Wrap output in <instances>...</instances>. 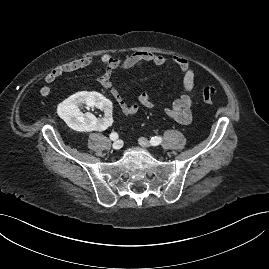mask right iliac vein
Listing matches in <instances>:
<instances>
[{
    "mask_svg": "<svg viewBox=\"0 0 269 269\" xmlns=\"http://www.w3.org/2000/svg\"><path fill=\"white\" fill-rule=\"evenodd\" d=\"M113 148L115 149V150H120L121 148H122V146H123V141L122 140H117V141H115L114 143H113Z\"/></svg>",
    "mask_w": 269,
    "mask_h": 269,
    "instance_id": "1",
    "label": "right iliac vein"
}]
</instances>
